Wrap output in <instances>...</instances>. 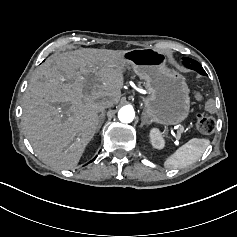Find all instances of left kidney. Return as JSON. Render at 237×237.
Wrapping results in <instances>:
<instances>
[{
    "instance_id": "5707ae66",
    "label": "left kidney",
    "mask_w": 237,
    "mask_h": 237,
    "mask_svg": "<svg viewBox=\"0 0 237 237\" xmlns=\"http://www.w3.org/2000/svg\"><path fill=\"white\" fill-rule=\"evenodd\" d=\"M151 143L155 148H162L163 147V139L161 133L154 129L150 133Z\"/></svg>"
}]
</instances>
